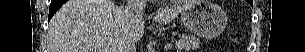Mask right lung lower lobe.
<instances>
[{
  "label": "right lung lower lobe",
  "mask_w": 305,
  "mask_h": 52,
  "mask_svg": "<svg viewBox=\"0 0 305 52\" xmlns=\"http://www.w3.org/2000/svg\"><path fill=\"white\" fill-rule=\"evenodd\" d=\"M65 0H51L48 21L52 18L55 12L65 3Z\"/></svg>",
  "instance_id": "98d812e1"
}]
</instances>
